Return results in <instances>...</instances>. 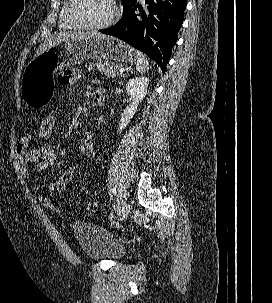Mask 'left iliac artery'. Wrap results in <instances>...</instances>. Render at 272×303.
<instances>
[{
	"instance_id": "1",
	"label": "left iliac artery",
	"mask_w": 272,
	"mask_h": 303,
	"mask_svg": "<svg viewBox=\"0 0 272 303\" xmlns=\"http://www.w3.org/2000/svg\"><path fill=\"white\" fill-rule=\"evenodd\" d=\"M116 209H117V210H116V211H117V213H118V214H120L121 209H120L119 203L116 205Z\"/></svg>"
}]
</instances>
